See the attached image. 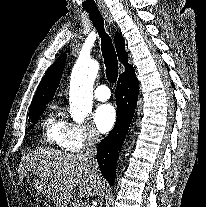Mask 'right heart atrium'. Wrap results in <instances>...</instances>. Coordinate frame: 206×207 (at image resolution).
I'll return each instance as SVG.
<instances>
[{
    "mask_svg": "<svg viewBox=\"0 0 206 207\" xmlns=\"http://www.w3.org/2000/svg\"><path fill=\"white\" fill-rule=\"evenodd\" d=\"M99 135L96 130L88 124L65 122L64 143L71 151H80L96 146Z\"/></svg>",
    "mask_w": 206,
    "mask_h": 207,
    "instance_id": "right-heart-atrium-1",
    "label": "right heart atrium"
}]
</instances>
